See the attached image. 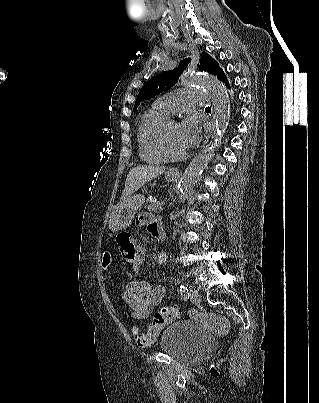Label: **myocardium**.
Listing matches in <instances>:
<instances>
[{"instance_id":"myocardium-1","label":"myocardium","mask_w":319,"mask_h":403,"mask_svg":"<svg viewBox=\"0 0 319 403\" xmlns=\"http://www.w3.org/2000/svg\"><path fill=\"white\" fill-rule=\"evenodd\" d=\"M173 122L171 119H167L163 125L161 126L158 136H157V148L159 153L163 156L165 160L168 161H182L187 158L188 152L185 151L180 154H174L169 150L168 144H167V130L170 125V123Z\"/></svg>"}]
</instances>
